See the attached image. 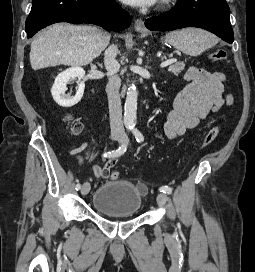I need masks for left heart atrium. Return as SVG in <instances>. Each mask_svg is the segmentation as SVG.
I'll use <instances>...</instances> for the list:
<instances>
[{
  "instance_id": "39dd6f15",
  "label": "left heart atrium",
  "mask_w": 255,
  "mask_h": 272,
  "mask_svg": "<svg viewBox=\"0 0 255 272\" xmlns=\"http://www.w3.org/2000/svg\"><path fill=\"white\" fill-rule=\"evenodd\" d=\"M122 1L133 6L149 7L154 5L158 0H122Z\"/></svg>"
}]
</instances>
